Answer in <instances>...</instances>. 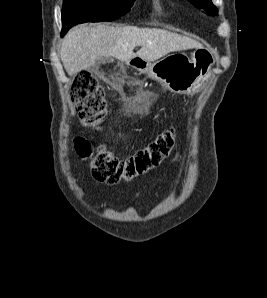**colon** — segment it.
<instances>
[{"label":"colon","instance_id":"5ec220e1","mask_svg":"<svg viewBox=\"0 0 267 298\" xmlns=\"http://www.w3.org/2000/svg\"><path fill=\"white\" fill-rule=\"evenodd\" d=\"M70 98L86 125H95L103 118L106 111L104 94L93 74L81 72L75 77ZM175 137L173 128L166 129L145 148L125 159L115 158L102 148L93 151L89 142L82 137L76 138L74 144L77 154L90 162L93 177L114 185L131 181L159 166L170 154Z\"/></svg>","mask_w":267,"mask_h":298}]
</instances>
